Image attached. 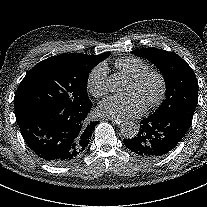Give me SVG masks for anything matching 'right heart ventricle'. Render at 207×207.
I'll return each mask as SVG.
<instances>
[{"instance_id":"obj_1","label":"right heart ventricle","mask_w":207,"mask_h":207,"mask_svg":"<svg viewBox=\"0 0 207 207\" xmlns=\"http://www.w3.org/2000/svg\"><path fill=\"white\" fill-rule=\"evenodd\" d=\"M115 66L130 79L136 78L149 69V66L146 62L133 56H127L118 59L115 63Z\"/></svg>"}]
</instances>
